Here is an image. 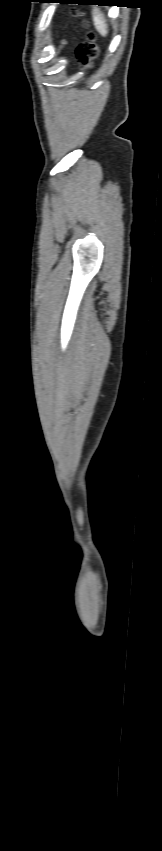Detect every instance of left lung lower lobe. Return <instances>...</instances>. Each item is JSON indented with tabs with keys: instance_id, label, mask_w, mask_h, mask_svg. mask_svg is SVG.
<instances>
[{
	"instance_id": "1",
	"label": "left lung lower lobe",
	"mask_w": 162,
	"mask_h": 851,
	"mask_svg": "<svg viewBox=\"0 0 162 851\" xmlns=\"http://www.w3.org/2000/svg\"><path fill=\"white\" fill-rule=\"evenodd\" d=\"M103 1L104 0H62L59 3H61V4H74V3H76V4H79V5H87V4L89 5L90 3H93V2L102 3ZM98 5H100V4H98Z\"/></svg>"
}]
</instances>
